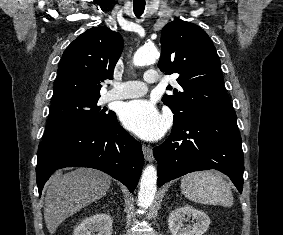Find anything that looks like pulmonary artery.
Here are the masks:
<instances>
[{
	"label": "pulmonary artery",
	"mask_w": 283,
	"mask_h": 235,
	"mask_svg": "<svg viewBox=\"0 0 283 235\" xmlns=\"http://www.w3.org/2000/svg\"><path fill=\"white\" fill-rule=\"evenodd\" d=\"M159 81L156 70H147L144 74L143 81H124L114 82L113 88L105 95L106 101L128 99L143 96L148 91V85Z\"/></svg>",
	"instance_id": "1"
}]
</instances>
